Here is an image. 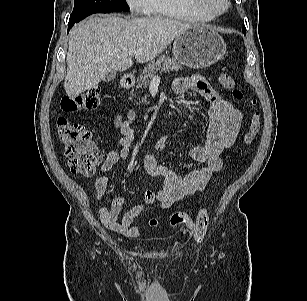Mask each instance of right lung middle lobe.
Wrapping results in <instances>:
<instances>
[{
	"label": "right lung middle lobe",
	"instance_id": "right-lung-middle-lobe-1",
	"mask_svg": "<svg viewBox=\"0 0 307 301\" xmlns=\"http://www.w3.org/2000/svg\"><path fill=\"white\" fill-rule=\"evenodd\" d=\"M126 0H74L69 23H77L94 13L128 11Z\"/></svg>",
	"mask_w": 307,
	"mask_h": 301
}]
</instances>
